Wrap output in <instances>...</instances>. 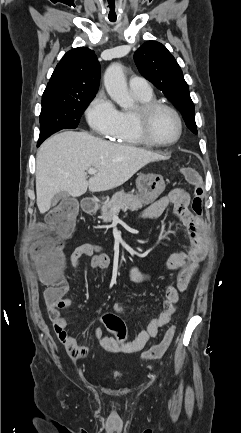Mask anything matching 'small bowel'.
<instances>
[{
  "label": "small bowel",
  "mask_w": 241,
  "mask_h": 433,
  "mask_svg": "<svg viewBox=\"0 0 241 433\" xmlns=\"http://www.w3.org/2000/svg\"><path fill=\"white\" fill-rule=\"evenodd\" d=\"M192 202L193 200L190 194L185 189L176 188L168 195L152 203L141 213L142 218L155 219L162 215L170 205H173L174 215L188 231L190 248L188 251H177L173 253L164 264V267L169 270L179 269L180 274L186 273L190 278L194 275L200 263L205 259L208 251L206 227L201 218L195 215L197 213L194 211L195 214L190 212L189 206H192ZM84 257L90 258L89 267L93 270H105L110 265V259L107 255L94 253L93 245L86 243L77 247L70 255V263L75 270L79 269L80 261ZM153 274V272L142 271L135 265L129 268V278L132 282H147L151 280ZM127 288L128 284L121 286V290H126ZM68 290V286L65 282L63 297L54 304H49L47 309L57 337L64 345L68 354L73 359L78 360L86 357L91 352V349L78 344L76 338L69 332L65 319L61 316L60 310L72 304V298L65 297ZM183 292L184 290L180 289L178 284L177 286L167 287L160 313L152 318L147 327L135 338L127 341L124 350L118 353L139 352L148 341L155 338L159 329L171 320L180 295ZM113 309L116 312H124L126 310L125 306L118 301L114 303ZM102 320L103 319H101V321ZM94 337L104 350L117 352L112 346L115 337L104 335L100 328L94 331Z\"/></svg>",
  "instance_id": "small-bowel-1"
}]
</instances>
